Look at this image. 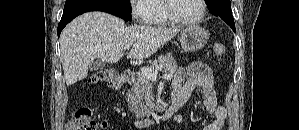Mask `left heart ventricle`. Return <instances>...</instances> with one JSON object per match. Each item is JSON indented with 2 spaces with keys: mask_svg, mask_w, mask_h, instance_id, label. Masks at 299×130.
Masks as SVG:
<instances>
[{
  "mask_svg": "<svg viewBox=\"0 0 299 130\" xmlns=\"http://www.w3.org/2000/svg\"><path fill=\"white\" fill-rule=\"evenodd\" d=\"M174 14L184 20H191L200 14L199 0H174L172 2Z\"/></svg>",
  "mask_w": 299,
  "mask_h": 130,
  "instance_id": "b2bd125f",
  "label": "left heart ventricle"
}]
</instances>
